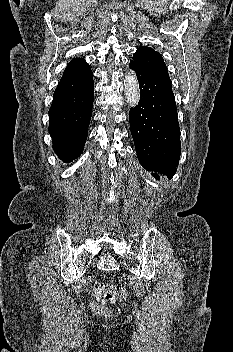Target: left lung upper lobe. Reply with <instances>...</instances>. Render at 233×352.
Listing matches in <instances>:
<instances>
[{"instance_id":"5c2ea615","label":"left lung upper lobe","mask_w":233,"mask_h":352,"mask_svg":"<svg viewBox=\"0 0 233 352\" xmlns=\"http://www.w3.org/2000/svg\"><path fill=\"white\" fill-rule=\"evenodd\" d=\"M133 62L162 79L170 81L167 67L160 53L150 47H139L132 58Z\"/></svg>"}]
</instances>
